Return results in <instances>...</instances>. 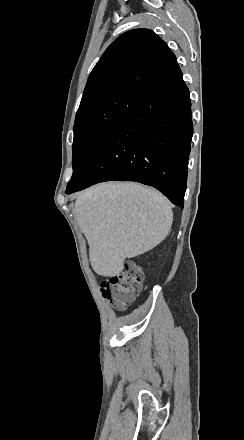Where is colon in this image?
I'll return each instance as SVG.
<instances>
[{"mask_svg":"<svg viewBox=\"0 0 244 440\" xmlns=\"http://www.w3.org/2000/svg\"><path fill=\"white\" fill-rule=\"evenodd\" d=\"M143 282V275L133 261H126L123 271L106 277L100 283L101 296L114 304L117 309H124L138 292Z\"/></svg>","mask_w":244,"mask_h":440,"instance_id":"5ec220e1","label":"colon"}]
</instances>
